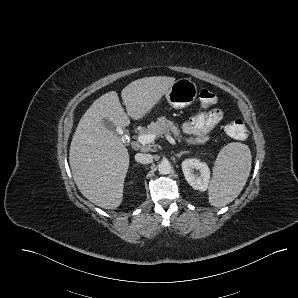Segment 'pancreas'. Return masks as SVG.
I'll use <instances>...</instances> for the list:
<instances>
[{"mask_svg":"<svg viewBox=\"0 0 298 298\" xmlns=\"http://www.w3.org/2000/svg\"><path fill=\"white\" fill-rule=\"evenodd\" d=\"M149 132L157 133L159 136H163L166 132H169L175 139H178L180 136V132L174 122L168 120L164 115L157 117L154 122H151L148 126L138 131V134L141 135Z\"/></svg>","mask_w":298,"mask_h":298,"instance_id":"1","label":"pancreas"}]
</instances>
